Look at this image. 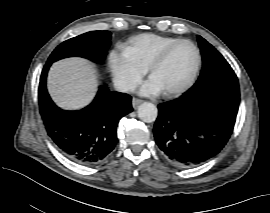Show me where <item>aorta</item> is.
Wrapping results in <instances>:
<instances>
[{
    "label": "aorta",
    "mask_w": 270,
    "mask_h": 213,
    "mask_svg": "<svg viewBox=\"0 0 270 213\" xmlns=\"http://www.w3.org/2000/svg\"><path fill=\"white\" fill-rule=\"evenodd\" d=\"M137 112L138 117L146 123L154 122L158 115L157 107L150 102L140 104Z\"/></svg>",
    "instance_id": "aorta-1"
}]
</instances>
